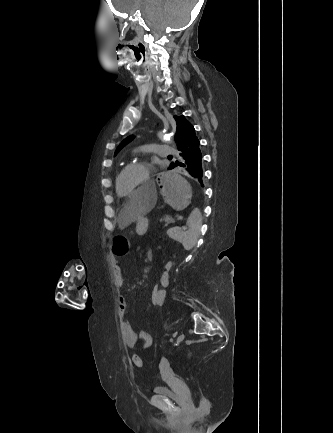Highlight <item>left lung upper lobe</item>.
I'll return each mask as SVG.
<instances>
[{"label": "left lung upper lobe", "instance_id": "1", "mask_svg": "<svg viewBox=\"0 0 333 433\" xmlns=\"http://www.w3.org/2000/svg\"><path fill=\"white\" fill-rule=\"evenodd\" d=\"M176 121V134L175 141L177 143L178 154L185 150L191 143L197 140V136L195 135V129L190 124L184 116H174ZM134 137L130 136L126 138L117 148L115 155L125 146L128 142H130ZM169 169H171L169 167Z\"/></svg>", "mask_w": 333, "mask_h": 433}]
</instances>
